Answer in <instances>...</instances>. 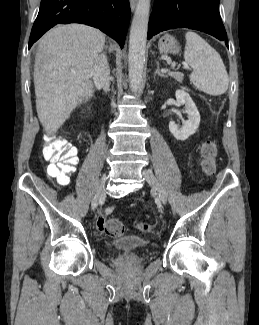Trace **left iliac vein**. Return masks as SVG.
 I'll list each match as a JSON object with an SVG mask.
<instances>
[{"label": "left iliac vein", "instance_id": "left-iliac-vein-1", "mask_svg": "<svg viewBox=\"0 0 259 325\" xmlns=\"http://www.w3.org/2000/svg\"><path fill=\"white\" fill-rule=\"evenodd\" d=\"M143 176L146 179V181L149 183V185L156 191L161 202L163 204H166L167 203L166 192L163 186L161 185V183L159 182V180L153 174V172L151 170L145 169L143 170Z\"/></svg>", "mask_w": 259, "mask_h": 325}]
</instances>
